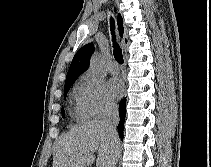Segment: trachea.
I'll return each mask as SVG.
<instances>
[{
    "label": "trachea",
    "mask_w": 211,
    "mask_h": 167,
    "mask_svg": "<svg viewBox=\"0 0 211 167\" xmlns=\"http://www.w3.org/2000/svg\"><path fill=\"white\" fill-rule=\"evenodd\" d=\"M110 29L113 35V43H114V58L116 59V61L119 64H123L124 60H123V55H122V50L118 47V45L116 44V39L114 37V29H115V22L113 20V18L110 19Z\"/></svg>",
    "instance_id": "1"
}]
</instances>
